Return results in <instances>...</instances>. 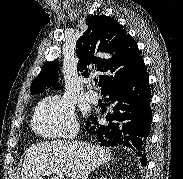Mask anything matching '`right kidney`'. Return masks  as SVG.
<instances>
[{"label":"right kidney","instance_id":"ca27d5eb","mask_svg":"<svg viewBox=\"0 0 183 179\" xmlns=\"http://www.w3.org/2000/svg\"><path fill=\"white\" fill-rule=\"evenodd\" d=\"M100 179H107V177H102V178H100Z\"/></svg>","mask_w":183,"mask_h":179}]
</instances>
